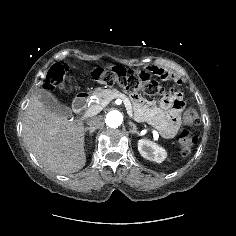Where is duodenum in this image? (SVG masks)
<instances>
[{
	"label": "duodenum",
	"mask_w": 236,
	"mask_h": 236,
	"mask_svg": "<svg viewBox=\"0 0 236 236\" xmlns=\"http://www.w3.org/2000/svg\"><path fill=\"white\" fill-rule=\"evenodd\" d=\"M88 101H89V95L82 94L78 96L73 102V110L79 114L84 112V110L88 105Z\"/></svg>",
	"instance_id": "410a0bca"
}]
</instances>
